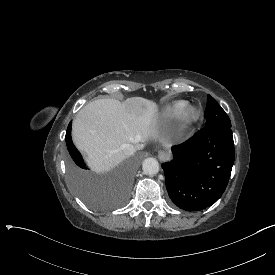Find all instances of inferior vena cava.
Listing matches in <instances>:
<instances>
[{
    "mask_svg": "<svg viewBox=\"0 0 275 275\" xmlns=\"http://www.w3.org/2000/svg\"><path fill=\"white\" fill-rule=\"evenodd\" d=\"M122 150L126 156L132 155L136 151L134 145H132V144H124L122 146Z\"/></svg>",
    "mask_w": 275,
    "mask_h": 275,
    "instance_id": "inferior-vena-cava-1",
    "label": "inferior vena cava"
}]
</instances>
